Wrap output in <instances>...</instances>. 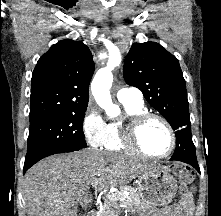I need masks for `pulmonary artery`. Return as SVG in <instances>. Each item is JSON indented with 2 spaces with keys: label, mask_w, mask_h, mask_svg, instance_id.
<instances>
[{
  "label": "pulmonary artery",
  "mask_w": 221,
  "mask_h": 216,
  "mask_svg": "<svg viewBox=\"0 0 221 216\" xmlns=\"http://www.w3.org/2000/svg\"><path fill=\"white\" fill-rule=\"evenodd\" d=\"M120 102H142L143 95L140 90L133 87H122L117 92Z\"/></svg>",
  "instance_id": "1"
}]
</instances>
